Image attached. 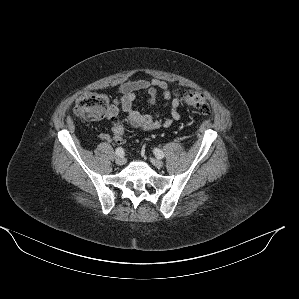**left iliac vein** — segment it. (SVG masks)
Wrapping results in <instances>:
<instances>
[{
  "label": "left iliac vein",
  "mask_w": 299,
  "mask_h": 299,
  "mask_svg": "<svg viewBox=\"0 0 299 299\" xmlns=\"http://www.w3.org/2000/svg\"><path fill=\"white\" fill-rule=\"evenodd\" d=\"M150 161L157 168H161L163 166V162L159 159L151 158Z\"/></svg>",
  "instance_id": "1"
}]
</instances>
